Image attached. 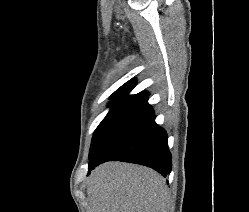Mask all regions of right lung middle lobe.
Segmentation results:
<instances>
[{"mask_svg":"<svg viewBox=\"0 0 249 212\" xmlns=\"http://www.w3.org/2000/svg\"><path fill=\"white\" fill-rule=\"evenodd\" d=\"M112 101L109 102V106H111L110 111L99 124L97 129L95 130L91 142V148L89 157L92 155L94 150L96 149L99 141L107 132L111 124L117 119V117L124 111V109L136 99L133 96H123V95H112L110 98Z\"/></svg>","mask_w":249,"mask_h":212,"instance_id":"obj_1","label":"right lung middle lobe"}]
</instances>
